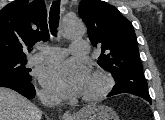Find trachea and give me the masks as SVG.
I'll return each mask as SVG.
<instances>
[{"instance_id": "trachea-1", "label": "trachea", "mask_w": 165, "mask_h": 120, "mask_svg": "<svg viewBox=\"0 0 165 120\" xmlns=\"http://www.w3.org/2000/svg\"><path fill=\"white\" fill-rule=\"evenodd\" d=\"M60 1H53L49 13V27L51 34L56 36L60 18Z\"/></svg>"}]
</instances>
